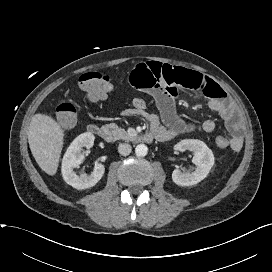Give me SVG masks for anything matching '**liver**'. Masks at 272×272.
Segmentation results:
<instances>
[{
	"instance_id": "6515ba94",
	"label": "liver",
	"mask_w": 272,
	"mask_h": 272,
	"mask_svg": "<svg viewBox=\"0 0 272 272\" xmlns=\"http://www.w3.org/2000/svg\"><path fill=\"white\" fill-rule=\"evenodd\" d=\"M64 130L46 114H35L30 122L28 142L39 167L49 175L58 169L63 147Z\"/></svg>"
}]
</instances>
